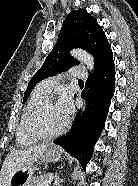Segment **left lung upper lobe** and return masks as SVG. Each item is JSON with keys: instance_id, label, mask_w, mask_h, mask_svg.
I'll return each mask as SVG.
<instances>
[{"instance_id": "5c2ea615", "label": "left lung upper lobe", "mask_w": 138, "mask_h": 186, "mask_svg": "<svg viewBox=\"0 0 138 186\" xmlns=\"http://www.w3.org/2000/svg\"><path fill=\"white\" fill-rule=\"evenodd\" d=\"M74 48L85 49L94 56L95 71L113 61L111 46L96 18L85 9L74 10L65 18L57 43L29 82L23 102L38 82L79 64L69 56Z\"/></svg>"}]
</instances>
